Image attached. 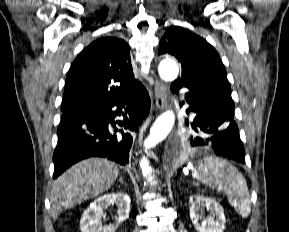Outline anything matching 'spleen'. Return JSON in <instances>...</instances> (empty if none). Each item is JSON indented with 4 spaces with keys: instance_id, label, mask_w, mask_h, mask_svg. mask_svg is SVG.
<instances>
[{
    "instance_id": "spleen-1",
    "label": "spleen",
    "mask_w": 289,
    "mask_h": 232,
    "mask_svg": "<svg viewBox=\"0 0 289 232\" xmlns=\"http://www.w3.org/2000/svg\"><path fill=\"white\" fill-rule=\"evenodd\" d=\"M193 176L209 187L223 191L241 217L249 216L251 200L246 180L231 163L217 157H207L198 163Z\"/></svg>"
}]
</instances>
